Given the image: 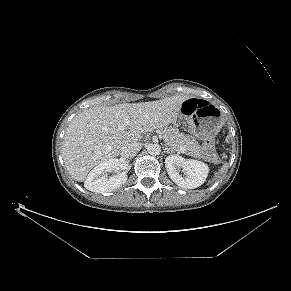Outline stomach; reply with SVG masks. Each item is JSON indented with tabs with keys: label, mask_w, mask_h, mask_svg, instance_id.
<instances>
[{
	"label": "stomach",
	"mask_w": 291,
	"mask_h": 291,
	"mask_svg": "<svg viewBox=\"0 0 291 291\" xmlns=\"http://www.w3.org/2000/svg\"><path fill=\"white\" fill-rule=\"evenodd\" d=\"M186 123L191 133L199 138H209L216 135L223 126V119L218 107L207 104L199 107L194 113L186 116ZM175 125L179 121H174Z\"/></svg>",
	"instance_id": "stomach-1"
}]
</instances>
